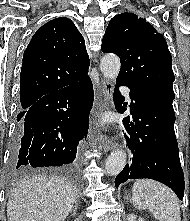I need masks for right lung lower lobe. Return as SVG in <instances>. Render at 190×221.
Returning a JSON list of instances; mask_svg holds the SVG:
<instances>
[{"label":"right lung lower lobe","mask_w":190,"mask_h":221,"mask_svg":"<svg viewBox=\"0 0 190 221\" xmlns=\"http://www.w3.org/2000/svg\"><path fill=\"white\" fill-rule=\"evenodd\" d=\"M93 104L89 76L51 92L18 115L11 163L15 169L62 166L76 159L86 139Z\"/></svg>","instance_id":"98d812e1"}]
</instances>
